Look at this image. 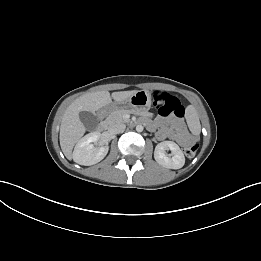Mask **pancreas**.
<instances>
[{
  "mask_svg": "<svg viewBox=\"0 0 261 261\" xmlns=\"http://www.w3.org/2000/svg\"><path fill=\"white\" fill-rule=\"evenodd\" d=\"M140 114L141 112L136 109H120L112 112L105 120L108 126H112L116 123L128 122L129 119L125 118L126 114Z\"/></svg>",
  "mask_w": 261,
  "mask_h": 261,
  "instance_id": "obj_1",
  "label": "pancreas"
}]
</instances>
